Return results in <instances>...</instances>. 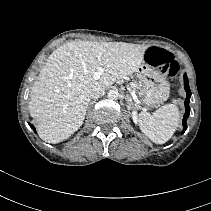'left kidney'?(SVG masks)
Here are the masks:
<instances>
[{
    "mask_svg": "<svg viewBox=\"0 0 211 211\" xmlns=\"http://www.w3.org/2000/svg\"><path fill=\"white\" fill-rule=\"evenodd\" d=\"M131 116H132V119H133V122L135 124L138 123V113H137V110L133 109L132 112H131Z\"/></svg>",
    "mask_w": 211,
    "mask_h": 211,
    "instance_id": "obj_1",
    "label": "left kidney"
}]
</instances>
